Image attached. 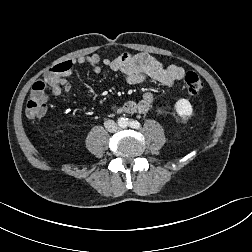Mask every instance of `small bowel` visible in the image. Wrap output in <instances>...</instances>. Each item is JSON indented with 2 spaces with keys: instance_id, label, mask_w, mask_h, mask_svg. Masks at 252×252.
Here are the masks:
<instances>
[{
  "instance_id": "small-bowel-1",
  "label": "small bowel",
  "mask_w": 252,
  "mask_h": 252,
  "mask_svg": "<svg viewBox=\"0 0 252 252\" xmlns=\"http://www.w3.org/2000/svg\"><path fill=\"white\" fill-rule=\"evenodd\" d=\"M103 64L113 71L122 73L125 81L129 84H140L147 80H154L167 87L174 88L179 80L184 76L183 68L177 65L164 66L157 59L145 53H123L114 59H104ZM88 63L97 74L101 72V58L97 54H87L75 60L64 62L67 66L59 81L50 86L51 94L55 97L62 92H70L72 86L64 77L71 75L72 66L75 64ZM154 102V95L150 92L145 93L138 101H127L122 104L118 112L120 113H147Z\"/></svg>"
}]
</instances>
